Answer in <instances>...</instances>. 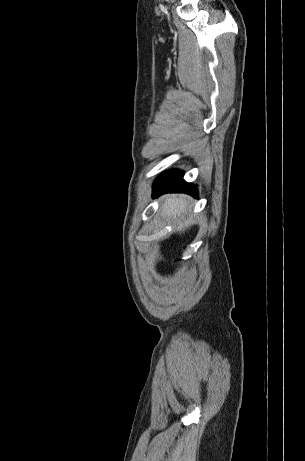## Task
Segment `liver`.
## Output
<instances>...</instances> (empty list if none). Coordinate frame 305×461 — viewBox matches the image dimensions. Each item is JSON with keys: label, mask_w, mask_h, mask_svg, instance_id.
Returning <instances> with one entry per match:
<instances>
[{"label": "liver", "mask_w": 305, "mask_h": 461, "mask_svg": "<svg viewBox=\"0 0 305 461\" xmlns=\"http://www.w3.org/2000/svg\"><path fill=\"white\" fill-rule=\"evenodd\" d=\"M187 201L183 196L168 195L164 197L161 214L167 217L180 218L182 221L178 223V231L182 232L191 226V221L185 219L187 212Z\"/></svg>", "instance_id": "obj_1"}]
</instances>
